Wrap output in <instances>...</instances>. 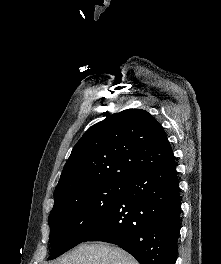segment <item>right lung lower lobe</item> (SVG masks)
<instances>
[{
  "mask_svg": "<svg viewBox=\"0 0 221 264\" xmlns=\"http://www.w3.org/2000/svg\"><path fill=\"white\" fill-rule=\"evenodd\" d=\"M180 210L173 158L129 178L114 208L82 242L116 244L140 264H175Z\"/></svg>",
  "mask_w": 221,
  "mask_h": 264,
  "instance_id": "right-lung-lower-lobe-1",
  "label": "right lung lower lobe"
}]
</instances>
